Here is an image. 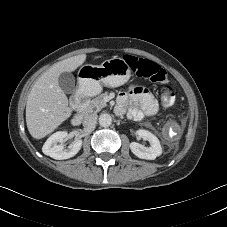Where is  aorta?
I'll use <instances>...</instances> for the list:
<instances>
[{
  "instance_id": "1",
  "label": "aorta",
  "mask_w": 227,
  "mask_h": 227,
  "mask_svg": "<svg viewBox=\"0 0 227 227\" xmlns=\"http://www.w3.org/2000/svg\"><path fill=\"white\" fill-rule=\"evenodd\" d=\"M112 123V117L108 113H103L99 116V124L102 127H108Z\"/></svg>"
}]
</instances>
